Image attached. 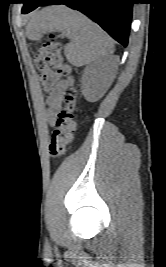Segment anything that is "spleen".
<instances>
[{"label": "spleen", "instance_id": "obj_1", "mask_svg": "<svg viewBox=\"0 0 166 267\" xmlns=\"http://www.w3.org/2000/svg\"><path fill=\"white\" fill-rule=\"evenodd\" d=\"M32 36L49 31L64 33L71 42L65 47L66 58L82 66L108 57L113 53L111 38L82 13L64 5H53L33 15L28 25Z\"/></svg>", "mask_w": 166, "mask_h": 267}]
</instances>
